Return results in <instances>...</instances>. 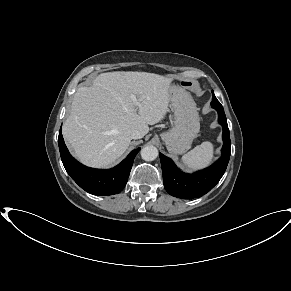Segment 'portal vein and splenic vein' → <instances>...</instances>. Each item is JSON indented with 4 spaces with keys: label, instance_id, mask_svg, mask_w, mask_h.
Listing matches in <instances>:
<instances>
[{
    "label": "portal vein and splenic vein",
    "instance_id": "1",
    "mask_svg": "<svg viewBox=\"0 0 291 291\" xmlns=\"http://www.w3.org/2000/svg\"><path fill=\"white\" fill-rule=\"evenodd\" d=\"M131 99L134 102L135 106H138L139 105V103L137 101V98H136V96L134 94H131Z\"/></svg>",
    "mask_w": 291,
    "mask_h": 291
}]
</instances>
